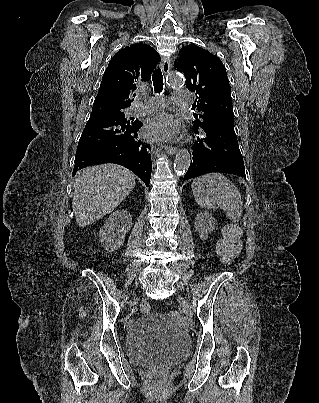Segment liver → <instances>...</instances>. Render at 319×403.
<instances>
[{
	"label": "liver",
	"instance_id": "obj_1",
	"mask_svg": "<svg viewBox=\"0 0 319 403\" xmlns=\"http://www.w3.org/2000/svg\"><path fill=\"white\" fill-rule=\"evenodd\" d=\"M135 187V175L115 164L85 168L75 177L72 208L80 227L112 212Z\"/></svg>",
	"mask_w": 319,
	"mask_h": 403
}]
</instances>
